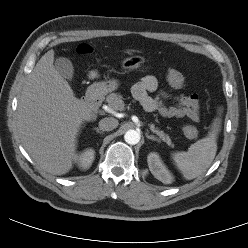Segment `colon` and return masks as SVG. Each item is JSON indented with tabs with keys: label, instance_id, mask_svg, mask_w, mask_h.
Masks as SVG:
<instances>
[{
	"label": "colon",
	"instance_id": "5ec220e1",
	"mask_svg": "<svg viewBox=\"0 0 248 248\" xmlns=\"http://www.w3.org/2000/svg\"><path fill=\"white\" fill-rule=\"evenodd\" d=\"M79 51L81 53H89L91 48L87 45H82L80 46ZM164 76L166 82L174 88L180 89L186 84L184 75L174 68H166ZM183 132L188 139L194 140L198 137V130L191 124H186L183 127Z\"/></svg>",
	"mask_w": 248,
	"mask_h": 248
}]
</instances>
